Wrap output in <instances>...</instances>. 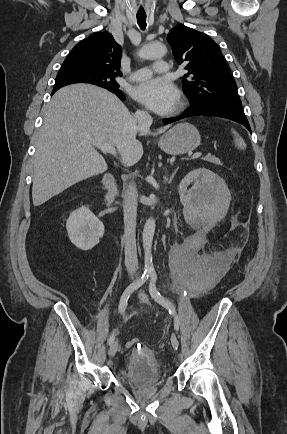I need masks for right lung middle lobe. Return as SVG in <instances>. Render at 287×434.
<instances>
[{
	"label": "right lung middle lobe",
	"instance_id": "right-lung-middle-lobe-1",
	"mask_svg": "<svg viewBox=\"0 0 287 434\" xmlns=\"http://www.w3.org/2000/svg\"><path fill=\"white\" fill-rule=\"evenodd\" d=\"M115 76L78 68L61 69L57 74L55 85L89 83L106 88L114 93H120L119 85L114 79Z\"/></svg>",
	"mask_w": 287,
	"mask_h": 434
}]
</instances>
